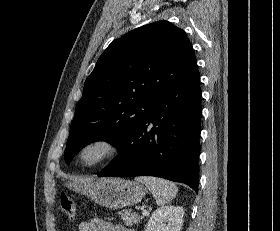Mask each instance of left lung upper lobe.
I'll use <instances>...</instances> for the list:
<instances>
[{
    "label": "left lung upper lobe",
    "instance_id": "left-lung-upper-lobe-1",
    "mask_svg": "<svg viewBox=\"0 0 280 231\" xmlns=\"http://www.w3.org/2000/svg\"><path fill=\"white\" fill-rule=\"evenodd\" d=\"M198 70L185 33L161 20L114 40L85 81L64 158L86 145L118 146L170 88Z\"/></svg>",
    "mask_w": 280,
    "mask_h": 231
}]
</instances>
